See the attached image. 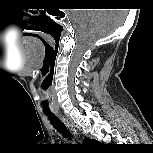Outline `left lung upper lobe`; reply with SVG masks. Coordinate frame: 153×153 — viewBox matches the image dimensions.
<instances>
[{
    "label": "left lung upper lobe",
    "mask_w": 153,
    "mask_h": 153,
    "mask_svg": "<svg viewBox=\"0 0 153 153\" xmlns=\"http://www.w3.org/2000/svg\"><path fill=\"white\" fill-rule=\"evenodd\" d=\"M84 144L89 146H95L98 145L99 143L93 139L92 140L84 139Z\"/></svg>",
    "instance_id": "obj_1"
}]
</instances>
